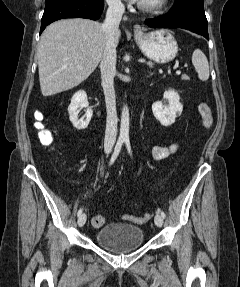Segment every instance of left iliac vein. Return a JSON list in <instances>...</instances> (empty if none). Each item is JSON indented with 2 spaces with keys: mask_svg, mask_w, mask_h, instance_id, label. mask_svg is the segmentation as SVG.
<instances>
[{
  "mask_svg": "<svg viewBox=\"0 0 240 287\" xmlns=\"http://www.w3.org/2000/svg\"><path fill=\"white\" fill-rule=\"evenodd\" d=\"M154 221L156 226L158 227H161L163 225V217L160 214H156Z\"/></svg>",
  "mask_w": 240,
  "mask_h": 287,
  "instance_id": "4c4485c4",
  "label": "left iliac vein"
}]
</instances>
